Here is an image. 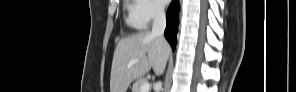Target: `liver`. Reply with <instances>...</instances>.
Wrapping results in <instances>:
<instances>
[{"label": "liver", "instance_id": "obj_1", "mask_svg": "<svg viewBox=\"0 0 296 92\" xmlns=\"http://www.w3.org/2000/svg\"><path fill=\"white\" fill-rule=\"evenodd\" d=\"M169 54L168 42L152 35L150 31H141L122 38L113 55L110 92H126L132 81L141 78L151 68L156 75L162 74ZM133 59H138L139 62L129 66Z\"/></svg>", "mask_w": 296, "mask_h": 92}]
</instances>
